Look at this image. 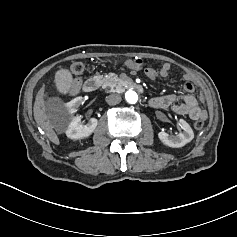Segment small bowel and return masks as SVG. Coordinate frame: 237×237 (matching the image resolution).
<instances>
[{
  "instance_id": "1",
  "label": "small bowel",
  "mask_w": 237,
  "mask_h": 237,
  "mask_svg": "<svg viewBox=\"0 0 237 237\" xmlns=\"http://www.w3.org/2000/svg\"><path fill=\"white\" fill-rule=\"evenodd\" d=\"M126 65L133 70H140L136 68L132 60L126 62ZM171 65L169 63H163L159 70L158 74L161 78H166L169 75ZM185 83L183 89L185 94L176 95H162L155 97L149 101L150 106L159 109H171L173 112L180 115H188L193 120H204L207 118L206 109L200 105L197 98L192 94L194 92V77L192 74L185 72L183 74ZM81 81L79 79H74L71 85L69 86V93L74 95L80 89ZM201 103L204 105L205 98L200 97Z\"/></svg>"
}]
</instances>
